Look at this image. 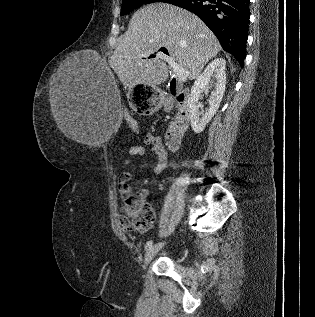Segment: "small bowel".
Returning a JSON list of instances; mask_svg holds the SVG:
<instances>
[{
    "instance_id": "1",
    "label": "small bowel",
    "mask_w": 315,
    "mask_h": 317,
    "mask_svg": "<svg viewBox=\"0 0 315 317\" xmlns=\"http://www.w3.org/2000/svg\"><path fill=\"white\" fill-rule=\"evenodd\" d=\"M145 144L156 155L157 164L154 167V172H162L168 164V153L163 145L161 138L152 133H147L144 137ZM146 150L143 146L133 145L129 148L128 156L123 161L120 171V180L118 184V190L121 197H125L127 190V182L131 179V173L128 171V167L139 157L145 154ZM144 197L148 195L147 190L141 191ZM120 224L124 230L130 231L132 227L125 221L123 217H119Z\"/></svg>"
}]
</instances>
